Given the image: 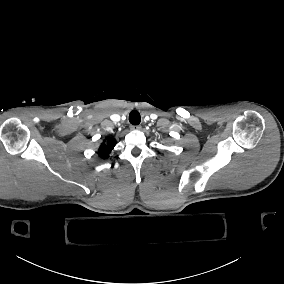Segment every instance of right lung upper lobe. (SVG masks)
Masks as SVG:
<instances>
[{
    "instance_id": "cb5924a9",
    "label": "right lung upper lobe",
    "mask_w": 284,
    "mask_h": 284,
    "mask_svg": "<svg viewBox=\"0 0 284 284\" xmlns=\"http://www.w3.org/2000/svg\"><path fill=\"white\" fill-rule=\"evenodd\" d=\"M114 146H115V142L113 141V139L110 137H107L106 140L100 145V148L98 150L99 156L103 159L108 158Z\"/></svg>"
}]
</instances>
